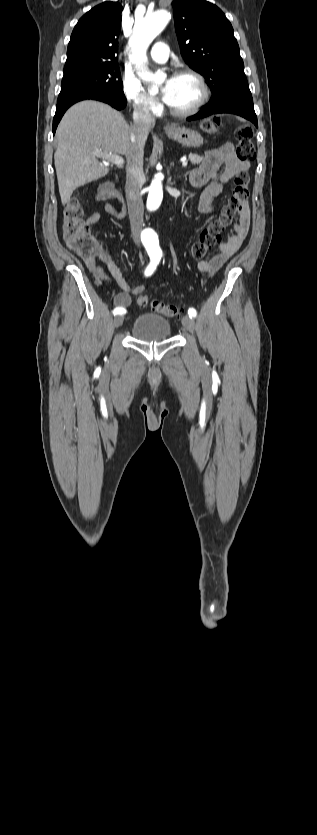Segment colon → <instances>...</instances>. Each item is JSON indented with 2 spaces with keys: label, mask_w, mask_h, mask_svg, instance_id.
<instances>
[{
  "label": "colon",
  "mask_w": 317,
  "mask_h": 835,
  "mask_svg": "<svg viewBox=\"0 0 317 835\" xmlns=\"http://www.w3.org/2000/svg\"><path fill=\"white\" fill-rule=\"evenodd\" d=\"M202 127L207 134L218 135L221 132L222 123L218 118H210L203 122ZM235 138L237 157L246 162L254 160L256 152L253 143V130L249 126H241L236 129ZM249 182L250 178L246 171L235 176L231 195L219 215L200 232L198 240L191 246L190 255L193 259L203 258L213 246L220 242L221 234L232 224L235 216L243 209L248 200ZM62 217L63 233L69 247L84 259L93 257L98 247L90 233L89 225L83 219V209L77 195H73L64 204ZM137 304L140 307L150 304L154 312L166 317L172 318L180 314V309L176 305L156 299L149 301L146 295L138 296Z\"/></svg>",
  "instance_id": "1"
}]
</instances>
